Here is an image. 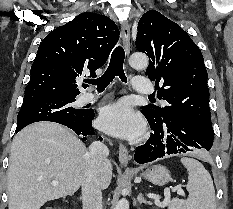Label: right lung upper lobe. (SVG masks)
<instances>
[{"label":"right lung upper lobe","mask_w":233,"mask_h":209,"mask_svg":"<svg viewBox=\"0 0 233 209\" xmlns=\"http://www.w3.org/2000/svg\"><path fill=\"white\" fill-rule=\"evenodd\" d=\"M119 39L116 24L108 17L81 13L53 30L40 43L31 66L23 103L51 98H75L76 79L96 76Z\"/></svg>","instance_id":"cb5924a9"}]
</instances>
